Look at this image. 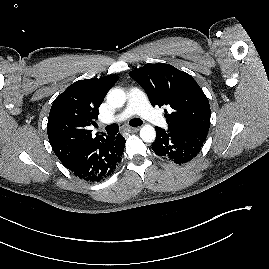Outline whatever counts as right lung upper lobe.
<instances>
[{
	"label": "right lung upper lobe",
	"instance_id": "1",
	"mask_svg": "<svg viewBox=\"0 0 269 269\" xmlns=\"http://www.w3.org/2000/svg\"><path fill=\"white\" fill-rule=\"evenodd\" d=\"M117 80V75L79 80L54 100L47 134L53 151L63 165L106 136L103 133L92 137L89 126L96 125L98 108Z\"/></svg>",
	"mask_w": 269,
	"mask_h": 269
}]
</instances>
